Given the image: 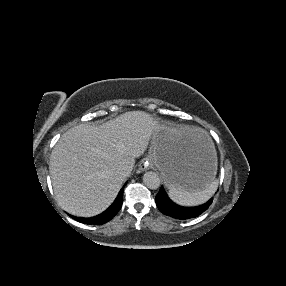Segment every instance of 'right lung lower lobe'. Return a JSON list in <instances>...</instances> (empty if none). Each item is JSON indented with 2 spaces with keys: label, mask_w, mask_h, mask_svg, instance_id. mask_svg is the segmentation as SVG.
Returning <instances> with one entry per match:
<instances>
[{
  "label": "right lung lower lobe",
  "mask_w": 286,
  "mask_h": 286,
  "mask_svg": "<svg viewBox=\"0 0 286 286\" xmlns=\"http://www.w3.org/2000/svg\"><path fill=\"white\" fill-rule=\"evenodd\" d=\"M123 190H124V187L120 190L117 198L107 210H105L103 213L95 217L81 218V217H75L72 215H69V216L75 219L76 221L85 223V224H95V225L104 224L108 222L109 220H111L120 210L122 203H123Z\"/></svg>",
  "instance_id": "right-lung-lower-lobe-1"
}]
</instances>
